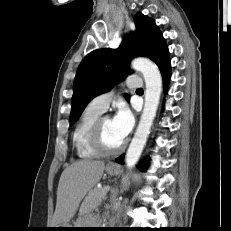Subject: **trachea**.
Listing matches in <instances>:
<instances>
[{"mask_svg": "<svg viewBox=\"0 0 231 231\" xmlns=\"http://www.w3.org/2000/svg\"><path fill=\"white\" fill-rule=\"evenodd\" d=\"M137 91H143V89H142V88H139V89H137Z\"/></svg>", "mask_w": 231, "mask_h": 231, "instance_id": "trachea-1", "label": "trachea"}]
</instances>
